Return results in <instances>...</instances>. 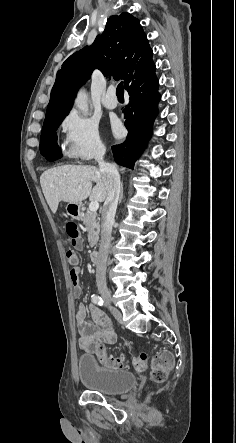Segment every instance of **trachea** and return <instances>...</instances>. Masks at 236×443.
I'll return each instance as SVG.
<instances>
[{
	"instance_id": "1",
	"label": "trachea",
	"mask_w": 236,
	"mask_h": 443,
	"mask_svg": "<svg viewBox=\"0 0 236 443\" xmlns=\"http://www.w3.org/2000/svg\"><path fill=\"white\" fill-rule=\"evenodd\" d=\"M116 94L118 97H123L124 96V86H123V82H120L117 86L116 89Z\"/></svg>"
}]
</instances>
